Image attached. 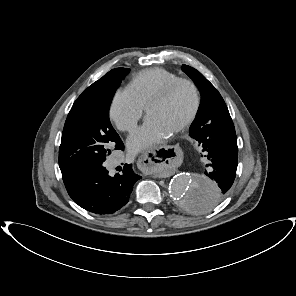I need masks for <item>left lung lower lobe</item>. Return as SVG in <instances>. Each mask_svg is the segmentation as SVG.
<instances>
[{"label":"left lung lower lobe","instance_id":"0a47b994","mask_svg":"<svg viewBox=\"0 0 296 296\" xmlns=\"http://www.w3.org/2000/svg\"><path fill=\"white\" fill-rule=\"evenodd\" d=\"M199 143L210 167L205 175L216 181L217 188H208L206 192L190 204L203 211L220 202L230 191L234 182L238 164L237 137L233 121L227 107L218 113L210 123L201 128ZM206 201L209 203L205 205Z\"/></svg>","mask_w":296,"mask_h":296}]
</instances>
